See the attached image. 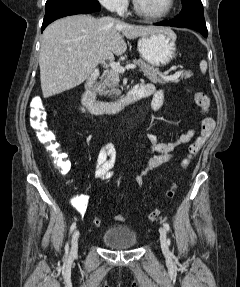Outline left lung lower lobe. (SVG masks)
I'll return each mask as SVG.
<instances>
[{
	"label": "left lung lower lobe",
	"mask_w": 240,
	"mask_h": 287,
	"mask_svg": "<svg viewBox=\"0 0 240 287\" xmlns=\"http://www.w3.org/2000/svg\"><path fill=\"white\" fill-rule=\"evenodd\" d=\"M178 16L171 20L161 21L154 25L189 28L200 32L207 37L208 31L205 24L203 5L201 0H186Z\"/></svg>",
	"instance_id": "1"
}]
</instances>
